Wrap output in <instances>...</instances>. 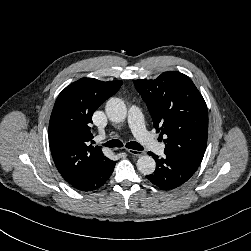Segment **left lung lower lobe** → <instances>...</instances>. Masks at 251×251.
I'll list each match as a JSON object with an SVG mask.
<instances>
[{
  "label": "left lung lower lobe",
  "mask_w": 251,
  "mask_h": 251,
  "mask_svg": "<svg viewBox=\"0 0 251 251\" xmlns=\"http://www.w3.org/2000/svg\"><path fill=\"white\" fill-rule=\"evenodd\" d=\"M156 161V170L146 176L155 186L163 190H172L187 182L196 172L198 166L177 156L165 154L159 159L152 152H148Z\"/></svg>",
  "instance_id": "left-lung-lower-lobe-1"
}]
</instances>
